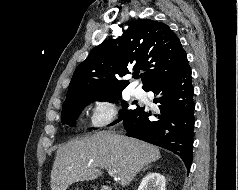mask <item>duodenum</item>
Wrapping results in <instances>:
<instances>
[{
	"instance_id": "1",
	"label": "duodenum",
	"mask_w": 238,
	"mask_h": 190,
	"mask_svg": "<svg viewBox=\"0 0 238 190\" xmlns=\"http://www.w3.org/2000/svg\"><path fill=\"white\" fill-rule=\"evenodd\" d=\"M103 190H111V189H109V188H104Z\"/></svg>"
}]
</instances>
